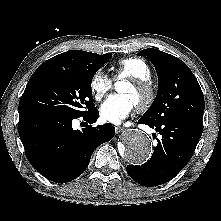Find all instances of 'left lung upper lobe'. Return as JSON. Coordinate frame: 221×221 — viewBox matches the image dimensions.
Masks as SVG:
<instances>
[{"mask_svg":"<svg viewBox=\"0 0 221 221\" xmlns=\"http://www.w3.org/2000/svg\"><path fill=\"white\" fill-rule=\"evenodd\" d=\"M147 56L158 74V93L142 119L156 125L173 118L202 127L204 96L190 68L179 58L158 49L138 53Z\"/></svg>","mask_w":221,"mask_h":221,"instance_id":"left-lung-upper-lobe-1","label":"left lung upper lobe"}]
</instances>
